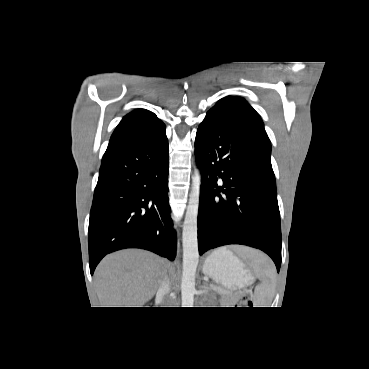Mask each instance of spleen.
I'll list each match as a JSON object with an SVG mask.
<instances>
[{"label":"spleen","instance_id":"1","mask_svg":"<svg viewBox=\"0 0 369 369\" xmlns=\"http://www.w3.org/2000/svg\"><path fill=\"white\" fill-rule=\"evenodd\" d=\"M243 256L250 259L251 266L257 272L261 283L255 289L254 304L256 307H268L274 296L276 270L267 256L259 251L249 249Z\"/></svg>","mask_w":369,"mask_h":369}]
</instances>
